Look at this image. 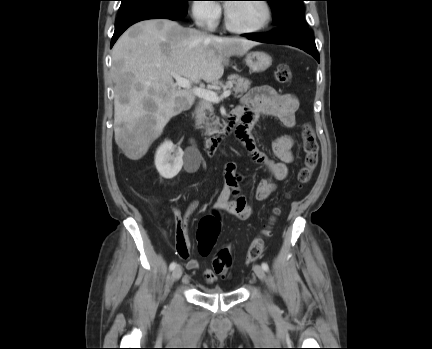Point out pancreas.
Wrapping results in <instances>:
<instances>
[{
	"instance_id": "obj_1",
	"label": "pancreas",
	"mask_w": 432,
	"mask_h": 349,
	"mask_svg": "<svg viewBox=\"0 0 432 349\" xmlns=\"http://www.w3.org/2000/svg\"><path fill=\"white\" fill-rule=\"evenodd\" d=\"M232 85V89L236 97H240L245 93L251 85V81L237 74L228 76L227 82L221 84V88H226ZM196 125L198 128H205L206 135H213L218 132L217 125L219 119L214 114L213 103L208 100H201L195 111Z\"/></svg>"
}]
</instances>
